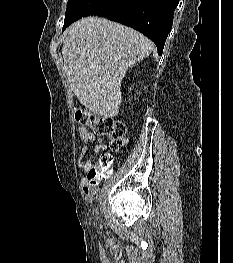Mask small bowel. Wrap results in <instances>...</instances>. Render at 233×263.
<instances>
[{
	"instance_id": "obj_1",
	"label": "small bowel",
	"mask_w": 233,
	"mask_h": 263,
	"mask_svg": "<svg viewBox=\"0 0 233 263\" xmlns=\"http://www.w3.org/2000/svg\"><path fill=\"white\" fill-rule=\"evenodd\" d=\"M79 134L81 137V142L79 144V151H78V165L86 173H88L93 166V161H92L93 156L101 151L106 150L107 146L106 144H104L103 138L96 136L94 133L84 128L79 129ZM90 146L92 147L93 154L89 158H85ZM81 184L83 186L85 195L88 198H92L96 193L97 183L95 185L96 187L94 188L93 187L94 185H90L85 176L81 179Z\"/></svg>"
}]
</instances>
